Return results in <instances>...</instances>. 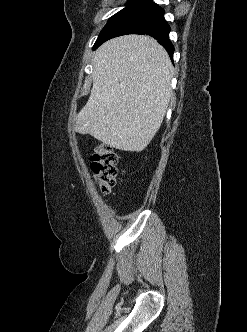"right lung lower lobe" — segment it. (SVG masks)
<instances>
[{"label":"right lung lower lobe","instance_id":"obj_1","mask_svg":"<svg viewBox=\"0 0 247 332\" xmlns=\"http://www.w3.org/2000/svg\"><path fill=\"white\" fill-rule=\"evenodd\" d=\"M170 26L164 19V10L154 2H149L128 13L100 36L93 49L98 48L105 41L125 34H147L162 44L172 58L174 47L169 40Z\"/></svg>","mask_w":247,"mask_h":332}]
</instances>
